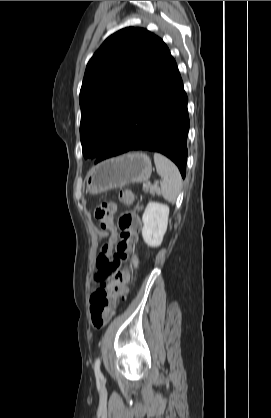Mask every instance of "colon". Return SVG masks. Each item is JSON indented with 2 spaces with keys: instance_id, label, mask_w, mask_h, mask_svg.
<instances>
[{
  "instance_id": "obj_1",
  "label": "colon",
  "mask_w": 271,
  "mask_h": 418,
  "mask_svg": "<svg viewBox=\"0 0 271 418\" xmlns=\"http://www.w3.org/2000/svg\"><path fill=\"white\" fill-rule=\"evenodd\" d=\"M119 198L126 204L134 201L133 193L128 188H123L119 192ZM116 206L111 201H104L97 204L94 208V217L99 226L104 230L113 228V215ZM120 228V238L116 243L115 251L111 258L106 255V250L97 258L98 272L96 279L101 283L91 297L90 315L92 325L96 329L103 328L110 320L112 315L113 299L102 283L110 277H120V268L127 260L129 245L136 241L140 222L131 212L122 213L118 219ZM126 286L118 282L115 286V293L121 297L125 296Z\"/></svg>"
}]
</instances>
